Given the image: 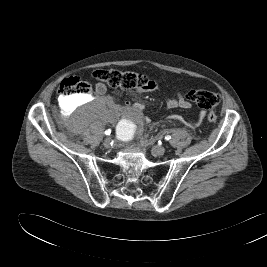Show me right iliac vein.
Masks as SVG:
<instances>
[{"instance_id":"63e3f726","label":"right iliac vein","mask_w":267,"mask_h":267,"mask_svg":"<svg viewBox=\"0 0 267 267\" xmlns=\"http://www.w3.org/2000/svg\"><path fill=\"white\" fill-rule=\"evenodd\" d=\"M103 145L105 148H109L110 145H111V139L109 137H107L104 142H103Z\"/></svg>"}]
</instances>
